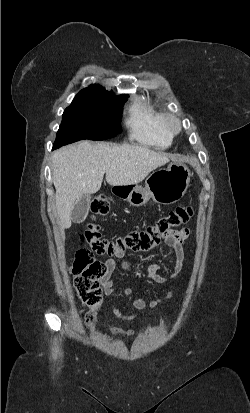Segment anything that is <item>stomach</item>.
Wrapping results in <instances>:
<instances>
[{"mask_svg": "<svg viewBox=\"0 0 250 413\" xmlns=\"http://www.w3.org/2000/svg\"><path fill=\"white\" fill-rule=\"evenodd\" d=\"M190 177L188 166L183 161L173 160L167 169L152 173L144 187L138 184L120 185L114 194L134 207L145 205L151 198L158 204H173L185 195Z\"/></svg>", "mask_w": 250, "mask_h": 413, "instance_id": "1", "label": "stomach"}]
</instances>
